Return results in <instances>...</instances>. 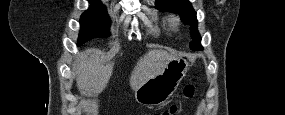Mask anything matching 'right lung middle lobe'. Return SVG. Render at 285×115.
Instances as JSON below:
<instances>
[{
    "label": "right lung middle lobe",
    "mask_w": 285,
    "mask_h": 115,
    "mask_svg": "<svg viewBox=\"0 0 285 115\" xmlns=\"http://www.w3.org/2000/svg\"><path fill=\"white\" fill-rule=\"evenodd\" d=\"M90 3V8L80 18L81 31L78 46L93 38L110 36V20L106 8L100 1L91 0Z\"/></svg>",
    "instance_id": "obj_1"
}]
</instances>
